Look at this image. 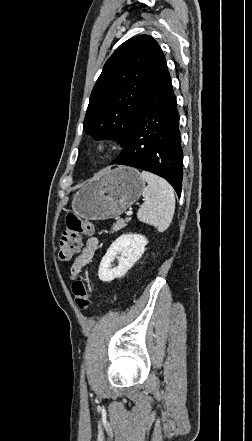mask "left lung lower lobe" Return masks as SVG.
I'll list each match as a JSON object with an SVG mask.
<instances>
[{"instance_id": "1", "label": "left lung lower lobe", "mask_w": 252, "mask_h": 441, "mask_svg": "<svg viewBox=\"0 0 252 441\" xmlns=\"http://www.w3.org/2000/svg\"><path fill=\"white\" fill-rule=\"evenodd\" d=\"M182 158L176 96L162 53L127 142L110 165H128L159 175L180 197Z\"/></svg>"}]
</instances>
